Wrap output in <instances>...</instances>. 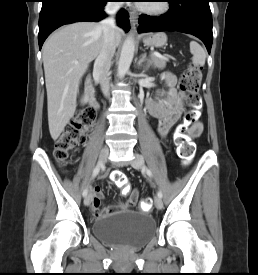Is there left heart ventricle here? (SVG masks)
<instances>
[{"mask_svg": "<svg viewBox=\"0 0 258 275\" xmlns=\"http://www.w3.org/2000/svg\"><path fill=\"white\" fill-rule=\"evenodd\" d=\"M147 2H151V3H146V4H143L145 6H150V7H155V6H158L160 1H147Z\"/></svg>", "mask_w": 258, "mask_h": 275, "instance_id": "left-heart-ventricle-1", "label": "left heart ventricle"}]
</instances>
